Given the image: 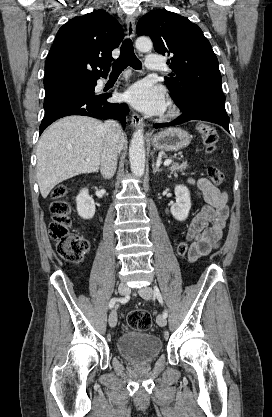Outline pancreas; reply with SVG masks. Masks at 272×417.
Wrapping results in <instances>:
<instances>
[{"instance_id": "obj_1", "label": "pancreas", "mask_w": 272, "mask_h": 417, "mask_svg": "<svg viewBox=\"0 0 272 417\" xmlns=\"http://www.w3.org/2000/svg\"><path fill=\"white\" fill-rule=\"evenodd\" d=\"M186 168H187V163L184 162V163L179 164L178 162H174L171 165V167H169V171L173 173L179 170L180 171L186 170Z\"/></svg>"}]
</instances>
